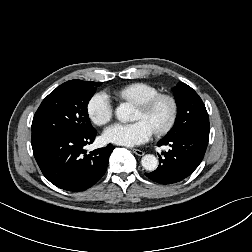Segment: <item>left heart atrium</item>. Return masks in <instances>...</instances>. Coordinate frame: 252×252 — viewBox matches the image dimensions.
<instances>
[{
    "instance_id": "39dd6f15",
    "label": "left heart atrium",
    "mask_w": 252,
    "mask_h": 252,
    "mask_svg": "<svg viewBox=\"0 0 252 252\" xmlns=\"http://www.w3.org/2000/svg\"><path fill=\"white\" fill-rule=\"evenodd\" d=\"M154 128L145 120L135 123H116L104 132V140L122 146H136L147 142L153 135Z\"/></svg>"
}]
</instances>
